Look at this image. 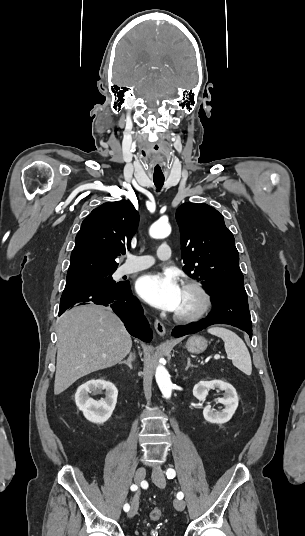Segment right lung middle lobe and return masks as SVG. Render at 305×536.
Returning a JSON list of instances; mask_svg holds the SVG:
<instances>
[{
    "label": "right lung middle lobe",
    "instance_id": "1",
    "mask_svg": "<svg viewBox=\"0 0 305 536\" xmlns=\"http://www.w3.org/2000/svg\"><path fill=\"white\" fill-rule=\"evenodd\" d=\"M115 270L106 271V272H100L95 274H89V275H82V276H75L67 278L66 286H93V287H99V288H113L115 286H119L121 283H116L113 278L112 274Z\"/></svg>",
    "mask_w": 305,
    "mask_h": 536
}]
</instances>
